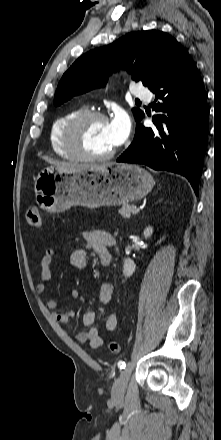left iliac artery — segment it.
I'll list each match as a JSON object with an SVG mask.
<instances>
[{"label":"left iliac artery","instance_id":"obj_1","mask_svg":"<svg viewBox=\"0 0 221 440\" xmlns=\"http://www.w3.org/2000/svg\"><path fill=\"white\" fill-rule=\"evenodd\" d=\"M118 367H119L120 369H124V368L126 367V363H125L124 361H119V362H118Z\"/></svg>","mask_w":221,"mask_h":440}]
</instances>
